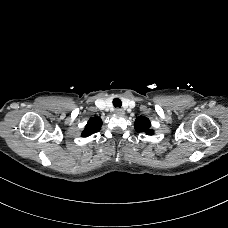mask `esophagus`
<instances>
[{
  "mask_svg": "<svg viewBox=\"0 0 228 228\" xmlns=\"http://www.w3.org/2000/svg\"><path fill=\"white\" fill-rule=\"evenodd\" d=\"M115 113H116V114H119V115H123V114H124V110L121 109V108H116V109H115Z\"/></svg>",
  "mask_w": 228,
  "mask_h": 228,
  "instance_id": "obj_1",
  "label": "esophagus"
}]
</instances>
